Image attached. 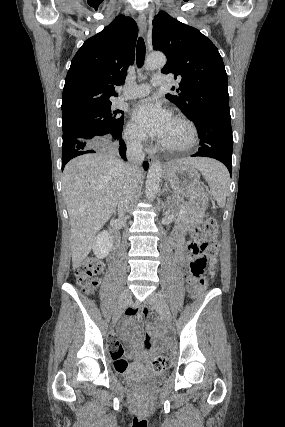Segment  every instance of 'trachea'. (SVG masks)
<instances>
[{
  "instance_id": "1",
  "label": "trachea",
  "mask_w": 285,
  "mask_h": 427,
  "mask_svg": "<svg viewBox=\"0 0 285 427\" xmlns=\"http://www.w3.org/2000/svg\"><path fill=\"white\" fill-rule=\"evenodd\" d=\"M146 47L142 37H139L137 41V49H136V61L138 68H141L144 64L145 60Z\"/></svg>"
}]
</instances>
